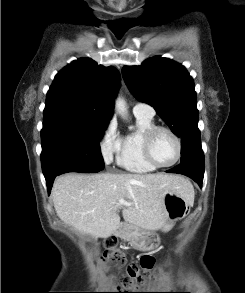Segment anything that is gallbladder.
<instances>
[{
	"label": "gallbladder",
	"mask_w": 245,
	"mask_h": 293,
	"mask_svg": "<svg viewBox=\"0 0 245 293\" xmlns=\"http://www.w3.org/2000/svg\"><path fill=\"white\" fill-rule=\"evenodd\" d=\"M95 250H96V251L98 250V244H96Z\"/></svg>",
	"instance_id": "gallbladder-1"
}]
</instances>
